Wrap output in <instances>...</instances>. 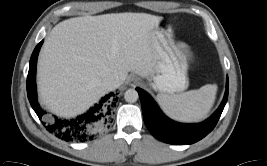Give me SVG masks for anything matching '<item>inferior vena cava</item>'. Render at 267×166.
<instances>
[{
  "label": "inferior vena cava",
  "mask_w": 267,
  "mask_h": 166,
  "mask_svg": "<svg viewBox=\"0 0 267 166\" xmlns=\"http://www.w3.org/2000/svg\"><path fill=\"white\" fill-rule=\"evenodd\" d=\"M106 90L111 91L120 86V81L118 78L109 77L106 79V81L103 83Z\"/></svg>",
  "instance_id": "1"
}]
</instances>
